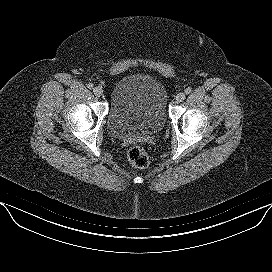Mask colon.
Listing matches in <instances>:
<instances>
[{
  "instance_id": "obj_1",
  "label": "colon",
  "mask_w": 272,
  "mask_h": 272,
  "mask_svg": "<svg viewBox=\"0 0 272 272\" xmlns=\"http://www.w3.org/2000/svg\"><path fill=\"white\" fill-rule=\"evenodd\" d=\"M127 156L130 163L137 168L144 169L149 165L147 152L140 145H133L130 147Z\"/></svg>"
}]
</instances>
